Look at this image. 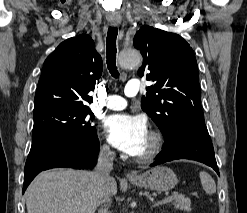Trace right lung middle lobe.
Returning a JSON list of instances; mask_svg holds the SVG:
<instances>
[{"mask_svg": "<svg viewBox=\"0 0 247 213\" xmlns=\"http://www.w3.org/2000/svg\"><path fill=\"white\" fill-rule=\"evenodd\" d=\"M94 115L88 107L52 105L34 111L32 146L64 135H75L85 145L97 141L96 128L91 125Z\"/></svg>", "mask_w": 247, "mask_h": 213, "instance_id": "1", "label": "right lung middle lobe"}]
</instances>
